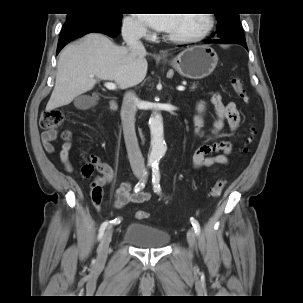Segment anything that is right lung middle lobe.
<instances>
[{
	"instance_id": "right-lung-middle-lobe-1",
	"label": "right lung middle lobe",
	"mask_w": 303,
	"mask_h": 303,
	"mask_svg": "<svg viewBox=\"0 0 303 303\" xmlns=\"http://www.w3.org/2000/svg\"><path fill=\"white\" fill-rule=\"evenodd\" d=\"M76 14H71L68 16V18L75 16ZM77 15H87V16H95L100 18H106V19H115L121 21L122 14L120 13H104V12H93V11H86L83 13H78Z\"/></svg>"
}]
</instances>
